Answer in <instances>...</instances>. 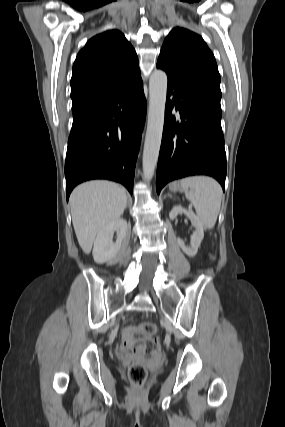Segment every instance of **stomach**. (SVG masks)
I'll use <instances>...</instances> for the list:
<instances>
[{
  "label": "stomach",
  "instance_id": "0dacf381",
  "mask_svg": "<svg viewBox=\"0 0 285 427\" xmlns=\"http://www.w3.org/2000/svg\"><path fill=\"white\" fill-rule=\"evenodd\" d=\"M169 188L172 192H182L184 190L179 182H173L172 184H170Z\"/></svg>",
  "mask_w": 285,
  "mask_h": 427
}]
</instances>
